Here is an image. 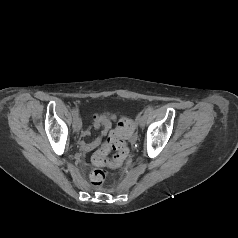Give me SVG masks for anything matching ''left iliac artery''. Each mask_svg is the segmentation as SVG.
Masks as SVG:
<instances>
[{
  "label": "left iliac artery",
  "instance_id": "44dca946",
  "mask_svg": "<svg viewBox=\"0 0 238 238\" xmlns=\"http://www.w3.org/2000/svg\"><path fill=\"white\" fill-rule=\"evenodd\" d=\"M153 112V107H148L146 110H145V114L146 115H149Z\"/></svg>",
  "mask_w": 238,
  "mask_h": 238
}]
</instances>
